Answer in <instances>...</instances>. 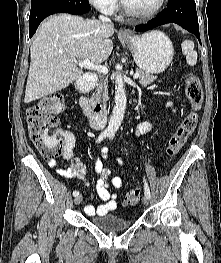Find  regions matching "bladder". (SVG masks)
Instances as JSON below:
<instances>
[{"label": "bladder", "mask_w": 221, "mask_h": 263, "mask_svg": "<svg viewBox=\"0 0 221 263\" xmlns=\"http://www.w3.org/2000/svg\"><path fill=\"white\" fill-rule=\"evenodd\" d=\"M90 222L96 228L107 232L116 233L128 229L131 221L122 219L117 214L95 215L91 217Z\"/></svg>", "instance_id": "1"}]
</instances>
